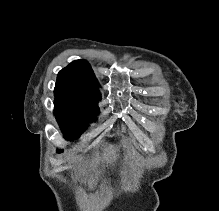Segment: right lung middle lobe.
Wrapping results in <instances>:
<instances>
[{
	"mask_svg": "<svg viewBox=\"0 0 219 211\" xmlns=\"http://www.w3.org/2000/svg\"><path fill=\"white\" fill-rule=\"evenodd\" d=\"M55 116L68 140L77 139L85 130L87 123L95 121L99 113L97 105L55 101ZM58 153L63 150H58Z\"/></svg>",
	"mask_w": 219,
	"mask_h": 211,
	"instance_id": "dd1d6c3e",
	"label": "right lung middle lobe"
}]
</instances>
